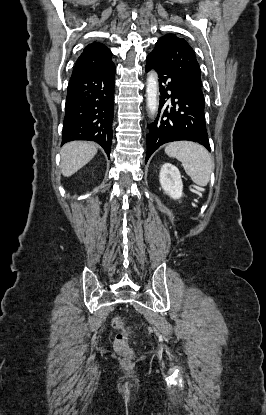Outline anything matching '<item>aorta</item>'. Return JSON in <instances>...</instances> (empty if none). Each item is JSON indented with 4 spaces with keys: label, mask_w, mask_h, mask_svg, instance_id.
<instances>
[{
    "label": "aorta",
    "mask_w": 266,
    "mask_h": 415,
    "mask_svg": "<svg viewBox=\"0 0 266 415\" xmlns=\"http://www.w3.org/2000/svg\"><path fill=\"white\" fill-rule=\"evenodd\" d=\"M158 77L154 71L149 72L147 76V87H146V105L149 113L154 115L159 106L158 100Z\"/></svg>",
    "instance_id": "1"
}]
</instances>
